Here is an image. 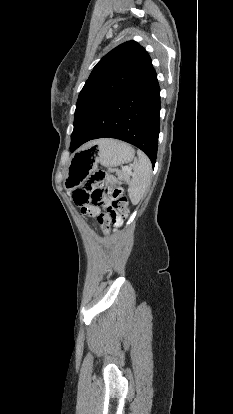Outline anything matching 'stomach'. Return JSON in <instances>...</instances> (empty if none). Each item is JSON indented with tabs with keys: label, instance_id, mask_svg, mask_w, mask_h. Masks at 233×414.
Masks as SVG:
<instances>
[{
	"label": "stomach",
	"instance_id": "0dacf381",
	"mask_svg": "<svg viewBox=\"0 0 233 414\" xmlns=\"http://www.w3.org/2000/svg\"><path fill=\"white\" fill-rule=\"evenodd\" d=\"M134 157V149L121 141L102 139L73 153L67 167L64 187L73 190L97 169L98 163L115 168L129 163Z\"/></svg>",
	"mask_w": 233,
	"mask_h": 414
}]
</instances>
